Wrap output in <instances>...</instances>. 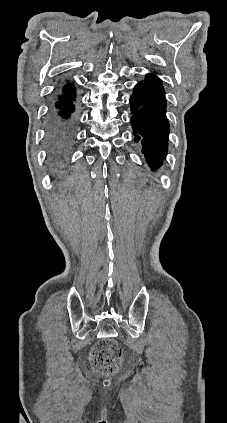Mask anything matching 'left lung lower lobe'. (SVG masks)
<instances>
[{"label": "left lung lower lobe", "mask_w": 227, "mask_h": 423, "mask_svg": "<svg viewBox=\"0 0 227 423\" xmlns=\"http://www.w3.org/2000/svg\"><path fill=\"white\" fill-rule=\"evenodd\" d=\"M130 103L135 142L142 146V152L151 166L157 168L167 154L169 136L161 81L156 76L147 75L144 83L135 86Z\"/></svg>", "instance_id": "0a47b994"}]
</instances>
